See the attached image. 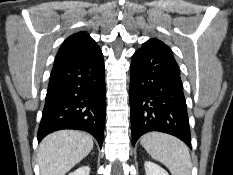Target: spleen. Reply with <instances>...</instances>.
I'll use <instances>...</instances> for the list:
<instances>
[{
    "label": "spleen",
    "mask_w": 233,
    "mask_h": 175,
    "mask_svg": "<svg viewBox=\"0 0 233 175\" xmlns=\"http://www.w3.org/2000/svg\"><path fill=\"white\" fill-rule=\"evenodd\" d=\"M140 143L149 155L163 163L172 175H191L189 149L178 138L164 133L150 132L141 137Z\"/></svg>",
    "instance_id": "obj_1"
}]
</instances>
